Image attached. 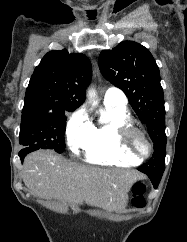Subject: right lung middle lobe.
Here are the masks:
<instances>
[{"instance_id": "dd1d6c3e", "label": "right lung middle lobe", "mask_w": 187, "mask_h": 242, "mask_svg": "<svg viewBox=\"0 0 187 242\" xmlns=\"http://www.w3.org/2000/svg\"><path fill=\"white\" fill-rule=\"evenodd\" d=\"M66 119V112L22 111L20 144L62 153L65 148Z\"/></svg>"}]
</instances>
